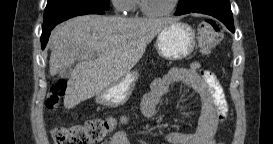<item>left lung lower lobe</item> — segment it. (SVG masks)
Listing matches in <instances>:
<instances>
[{"label":"left lung lower lobe","instance_id":"0a47b994","mask_svg":"<svg viewBox=\"0 0 273 144\" xmlns=\"http://www.w3.org/2000/svg\"><path fill=\"white\" fill-rule=\"evenodd\" d=\"M191 12L211 15L223 22L231 32H234L229 0H193L190 7L176 11L175 15L179 16Z\"/></svg>","mask_w":273,"mask_h":144}]
</instances>
